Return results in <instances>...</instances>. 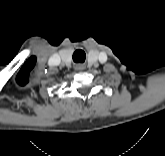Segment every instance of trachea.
<instances>
[{"label": "trachea", "instance_id": "trachea-1", "mask_svg": "<svg viewBox=\"0 0 165 156\" xmlns=\"http://www.w3.org/2000/svg\"><path fill=\"white\" fill-rule=\"evenodd\" d=\"M86 54L83 50H76L73 53V60L74 62H84L85 61Z\"/></svg>", "mask_w": 165, "mask_h": 156}]
</instances>
